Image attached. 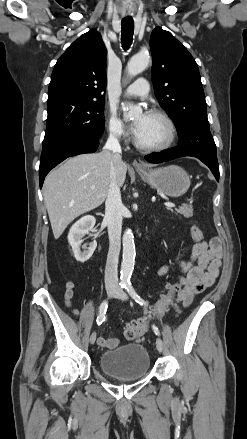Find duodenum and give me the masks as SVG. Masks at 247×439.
<instances>
[{
	"instance_id": "duodenum-1",
	"label": "duodenum",
	"mask_w": 247,
	"mask_h": 439,
	"mask_svg": "<svg viewBox=\"0 0 247 439\" xmlns=\"http://www.w3.org/2000/svg\"><path fill=\"white\" fill-rule=\"evenodd\" d=\"M142 239H143V241H147L148 240V235L144 234Z\"/></svg>"
}]
</instances>
